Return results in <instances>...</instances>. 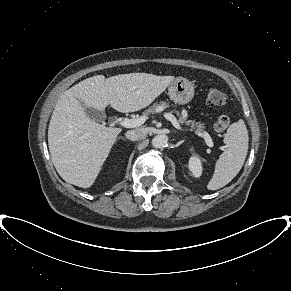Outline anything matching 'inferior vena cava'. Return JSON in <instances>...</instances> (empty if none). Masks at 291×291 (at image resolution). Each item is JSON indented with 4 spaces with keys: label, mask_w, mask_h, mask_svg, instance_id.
I'll use <instances>...</instances> for the list:
<instances>
[{
    "label": "inferior vena cava",
    "mask_w": 291,
    "mask_h": 291,
    "mask_svg": "<svg viewBox=\"0 0 291 291\" xmlns=\"http://www.w3.org/2000/svg\"><path fill=\"white\" fill-rule=\"evenodd\" d=\"M125 136L127 139L131 141H137V140H142L146 138L147 132L145 129H134V130H129L125 133Z\"/></svg>",
    "instance_id": "inferior-vena-cava-1"
}]
</instances>
